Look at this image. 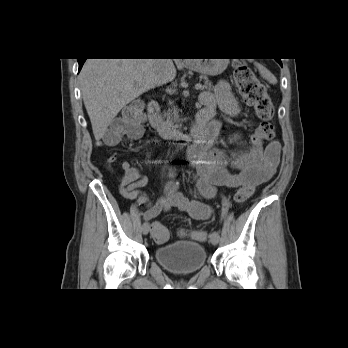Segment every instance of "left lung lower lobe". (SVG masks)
I'll use <instances>...</instances> for the list:
<instances>
[{
    "label": "left lung lower lobe",
    "instance_id": "obj_1",
    "mask_svg": "<svg viewBox=\"0 0 348 348\" xmlns=\"http://www.w3.org/2000/svg\"><path fill=\"white\" fill-rule=\"evenodd\" d=\"M281 66H282V63H281V60L279 59V60H276Z\"/></svg>",
    "mask_w": 348,
    "mask_h": 348
}]
</instances>
